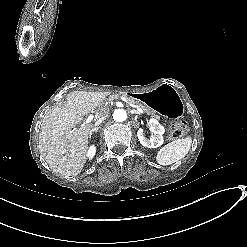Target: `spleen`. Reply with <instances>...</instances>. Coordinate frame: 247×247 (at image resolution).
I'll list each match as a JSON object with an SVG mask.
<instances>
[{
	"instance_id": "spleen-1",
	"label": "spleen",
	"mask_w": 247,
	"mask_h": 247,
	"mask_svg": "<svg viewBox=\"0 0 247 247\" xmlns=\"http://www.w3.org/2000/svg\"><path fill=\"white\" fill-rule=\"evenodd\" d=\"M192 136L179 138L161 147L156 154V162L161 166L172 165L183 159L190 151Z\"/></svg>"
}]
</instances>
